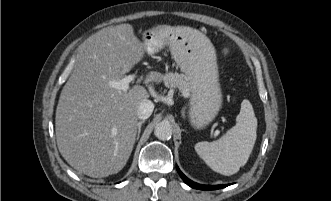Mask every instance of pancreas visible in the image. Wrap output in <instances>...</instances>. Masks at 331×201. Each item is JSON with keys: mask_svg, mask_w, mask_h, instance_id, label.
I'll return each mask as SVG.
<instances>
[{"mask_svg": "<svg viewBox=\"0 0 331 201\" xmlns=\"http://www.w3.org/2000/svg\"><path fill=\"white\" fill-rule=\"evenodd\" d=\"M165 86L168 88H178L183 96H188L190 92L187 78L178 73H167L164 77Z\"/></svg>", "mask_w": 331, "mask_h": 201, "instance_id": "1", "label": "pancreas"}]
</instances>
